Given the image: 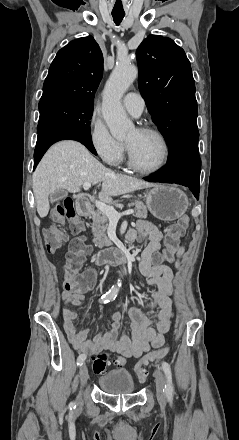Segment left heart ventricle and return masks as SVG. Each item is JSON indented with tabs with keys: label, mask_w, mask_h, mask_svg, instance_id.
Returning a JSON list of instances; mask_svg holds the SVG:
<instances>
[{
	"label": "left heart ventricle",
	"mask_w": 239,
	"mask_h": 440,
	"mask_svg": "<svg viewBox=\"0 0 239 440\" xmlns=\"http://www.w3.org/2000/svg\"><path fill=\"white\" fill-rule=\"evenodd\" d=\"M137 164L144 169H153L160 165L164 157V147L160 139L152 134L135 129L126 138Z\"/></svg>",
	"instance_id": "1"
}]
</instances>
